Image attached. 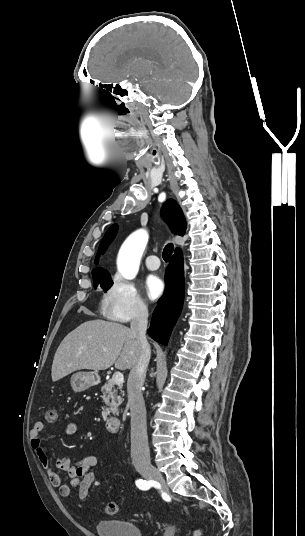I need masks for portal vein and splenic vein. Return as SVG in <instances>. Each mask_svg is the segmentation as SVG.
<instances>
[{"mask_svg": "<svg viewBox=\"0 0 305 536\" xmlns=\"http://www.w3.org/2000/svg\"><path fill=\"white\" fill-rule=\"evenodd\" d=\"M103 350H106V348H103ZM112 382L113 384H117V386H121L124 382L123 374H121V372H115L112 376Z\"/></svg>", "mask_w": 305, "mask_h": 536, "instance_id": "1", "label": "portal vein and splenic vein"}]
</instances>
